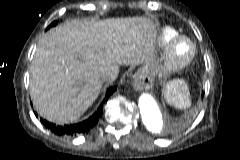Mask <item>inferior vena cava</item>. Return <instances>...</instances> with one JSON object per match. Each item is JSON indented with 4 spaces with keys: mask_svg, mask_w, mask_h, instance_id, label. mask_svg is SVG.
<instances>
[{
    "mask_svg": "<svg viewBox=\"0 0 240 160\" xmlns=\"http://www.w3.org/2000/svg\"><path fill=\"white\" fill-rule=\"evenodd\" d=\"M102 79H103L104 81L115 80V79H116V76L113 75V74H106V75H103V76H102Z\"/></svg>",
    "mask_w": 240,
    "mask_h": 160,
    "instance_id": "obj_1",
    "label": "inferior vena cava"
}]
</instances>
